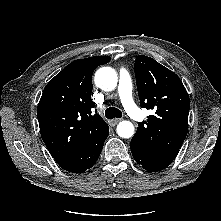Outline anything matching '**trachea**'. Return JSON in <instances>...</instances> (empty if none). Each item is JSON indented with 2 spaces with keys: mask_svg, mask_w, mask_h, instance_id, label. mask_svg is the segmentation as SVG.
<instances>
[{
  "mask_svg": "<svg viewBox=\"0 0 221 221\" xmlns=\"http://www.w3.org/2000/svg\"><path fill=\"white\" fill-rule=\"evenodd\" d=\"M105 116L108 119L112 118H121L122 117V112L115 108V107H109L105 110Z\"/></svg>",
  "mask_w": 221,
  "mask_h": 221,
  "instance_id": "trachea-1",
  "label": "trachea"
}]
</instances>
